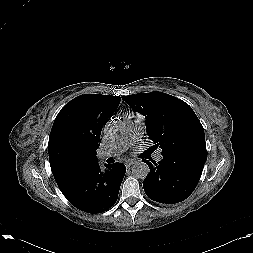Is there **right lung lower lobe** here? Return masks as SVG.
Listing matches in <instances>:
<instances>
[{
	"instance_id": "obj_1",
	"label": "right lung lower lobe",
	"mask_w": 253,
	"mask_h": 253,
	"mask_svg": "<svg viewBox=\"0 0 253 253\" xmlns=\"http://www.w3.org/2000/svg\"><path fill=\"white\" fill-rule=\"evenodd\" d=\"M104 166L106 169L102 170L97 162L58 184L63 195L79 210L97 214L117 201L126 167L118 162Z\"/></svg>"
}]
</instances>
